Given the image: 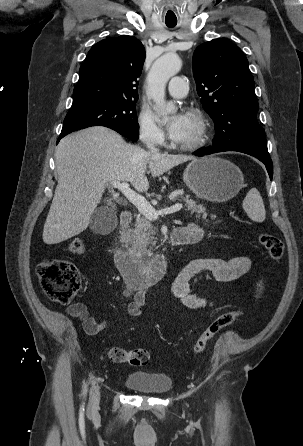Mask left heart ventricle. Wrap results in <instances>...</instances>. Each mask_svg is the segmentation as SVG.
I'll return each instance as SVG.
<instances>
[{
	"label": "left heart ventricle",
	"mask_w": 303,
	"mask_h": 446,
	"mask_svg": "<svg viewBox=\"0 0 303 446\" xmlns=\"http://www.w3.org/2000/svg\"><path fill=\"white\" fill-rule=\"evenodd\" d=\"M198 132V122L192 116L186 115V127L183 136L177 141L178 143H187L192 141Z\"/></svg>",
	"instance_id": "left-heart-ventricle-1"
}]
</instances>
